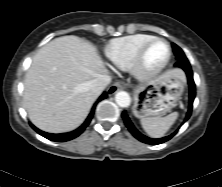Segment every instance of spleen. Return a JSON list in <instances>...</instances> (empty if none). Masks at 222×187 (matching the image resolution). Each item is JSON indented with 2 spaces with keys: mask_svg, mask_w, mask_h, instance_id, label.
<instances>
[{
  "mask_svg": "<svg viewBox=\"0 0 222 187\" xmlns=\"http://www.w3.org/2000/svg\"><path fill=\"white\" fill-rule=\"evenodd\" d=\"M178 118V112L170 113L165 117H145L141 119V125L145 132L153 137H163Z\"/></svg>",
  "mask_w": 222,
  "mask_h": 187,
  "instance_id": "1",
  "label": "spleen"
}]
</instances>
